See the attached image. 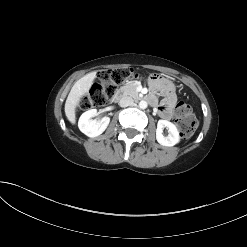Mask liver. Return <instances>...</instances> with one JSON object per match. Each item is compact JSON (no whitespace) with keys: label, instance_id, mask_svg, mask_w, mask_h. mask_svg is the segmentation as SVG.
<instances>
[{"label":"liver","instance_id":"liver-1","mask_svg":"<svg viewBox=\"0 0 247 247\" xmlns=\"http://www.w3.org/2000/svg\"><path fill=\"white\" fill-rule=\"evenodd\" d=\"M96 78V72H91L75 82L65 102V115L71 124L76 122V107L82 96L87 94Z\"/></svg>","mask_w":247,"mask_h":247}]
</instances>
